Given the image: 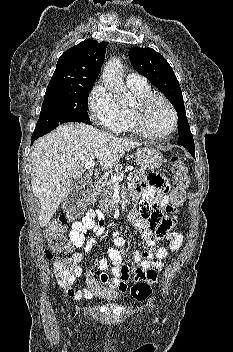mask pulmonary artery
Instances as JSON below:
<instances>
[{"label": "pulmonary artery", "instance_id": "1", "mask_svg": "<svg viewBox=\"0 0 233 352\" xmlns=\"http://www.w3.org/2000/svg\"><path fill=\"white\" fill-rule=\"evenodd\" d=\"M126 83L128 87H143L146 84V79L138 73H129L126 76Z\"/></svg>", "mask_w": 233, "mask_h": 352}]
</instances>
